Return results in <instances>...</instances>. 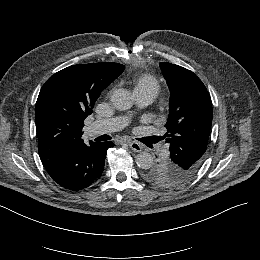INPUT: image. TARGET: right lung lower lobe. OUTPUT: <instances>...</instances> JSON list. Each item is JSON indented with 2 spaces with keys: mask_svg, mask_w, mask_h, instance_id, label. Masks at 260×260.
I'll list each match as a JSON object with an SVG mask.
<instances>
[{
  "mask_svg": "<svg viewBox=\"0 0 260 260\" xmlns=\"http://www.w3.org/2000/svg\"><path fill=\"white\" fill-rule=\"evenodd\" d=\"M110 141L82 143L69 151L52 167L46 169L51 178L61 187L79 191L96 182L103 170L107 149L113 147Z\"/></svg>",
  "mask_w": 260,
  "mask_h": 260,
  "instance_id": "obj_1",
  "label": "right lung lower lobe"
}]
</instances>
